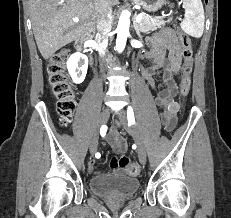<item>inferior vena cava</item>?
<instances>
[{"label":"inferior vena cava","mask_w":231,"mask_h":218,"mask_svg":"<svg viewBox=\"0 0 231 218\" xmlns=\"http://www.w3.org/2000/svg\"><path fill=\"white\" fill-rule=\"evenodd\" d=\"M97 35L96 40L102 51L100 53L101 64L106 61L105 49L108 45V33L111 31L112 6L110 0H96L95 2Z\"/></svg>","instance_id":"inferior-vena-cava-1"}]
</instances>
